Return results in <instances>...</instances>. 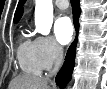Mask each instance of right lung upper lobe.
Masks as SVG:
<instances>
[{"mask_svg": "<svg viewBox=\"0 0 107 89\" xmlns=\"http://www.w3.org/2000/svg\"><path fill=\"white\" fill-rule=\"evenodd\" d=\"M22 13H23V10H22L21 4L19 3L14 15V23H17L20 20Z\"/></svg>", "mask_w": 107, "mask_h": 89, "instance_id": "cb5924a9", "label": "right lung upper lobe"}]
</instances>
